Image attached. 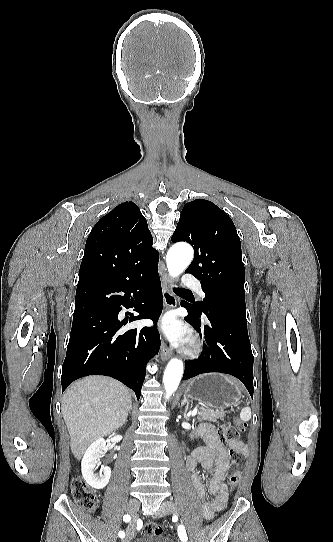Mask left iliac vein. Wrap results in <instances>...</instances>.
<instances>
[{
    "label": "left iliac vein",
    "instance_id": "1",
    "mask_svg": "<svg viewBox=\"0 0 333 542\" xmlns=\"http://www.w3.org/2000/svg\"><path fill=\"white\" fill-rule=\"evenodd\" d=\"M161 506H162V512H160L159 514L160 516H164L171 513H174V514L179 513V509L173 501H170V500L163 501Z\"/></svg>",
    "mask_w": 333,
    "mask_h": 542
}]
</instances>
